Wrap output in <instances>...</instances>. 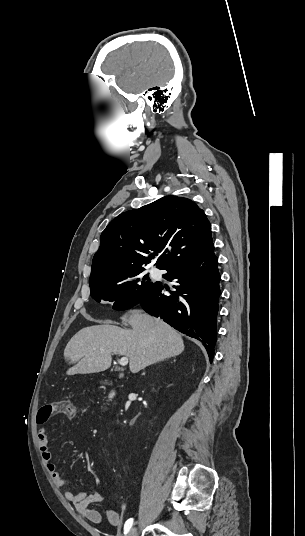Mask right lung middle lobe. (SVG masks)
I'll use <instances>...</instances> for the list:
<instances>
[{
	"instance_id": "dd1d6c3e",
	"label": "right lung middle lobe",
	"mask_w": 305,
	"mask_h": 536,
	"mask_svg": "<svg viewBox=\"0 0 305 536\" xmlns=\"http://www.w3.org/2000/svg\"><path fill=\"white\" fill-rule=\"evenodd\" d=\"M144 269H138L113 278L89 282L91 297L100 302L113 303V309L126 310L137 305L158 283L152 282Z\"/></svg>"
}]
</instances>
